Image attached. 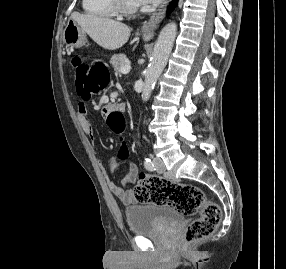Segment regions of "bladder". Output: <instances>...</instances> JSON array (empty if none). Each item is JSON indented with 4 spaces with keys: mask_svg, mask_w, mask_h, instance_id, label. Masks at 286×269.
<instances>
[{
    "mask_svg": "<svg viewBox=\"0 0 286 269\" xmlns=\"http://www.w3.org/2000/svg\"><path fill=\"white\" fill-rule=\"evenodd\" d=\"M125 218L134 235H146L179 223L182 214L164 205L142 204L127 207Z\"/></svg>",
    "mask_w": 286,
    "mask_h": 269,
    "instance_id": "bladder-1",
    "label": "bladder"
}]
</instances>
